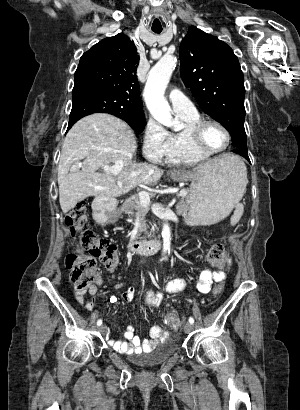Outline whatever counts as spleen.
Wrapping results in <instances>:
<instances>
[{
	"mask_svg": "<svg viewBox=\"0 0 300 410\" xmlns=\"http://www.w3.org/2000/svg\"><path fill=\"white\" fill-rule=\"evenodd\" d=\"M233 161H234V163H235L236 168L239 169V171H241L242 174H243V186H244V188H246V185H247V182H248V181H247L246 166H245V164H244L239 158H237V157L234 158ZM243 212H244V205L241 204V203H238V204L235 206L234 214L231 216V219H230L231 225H236V224L239 222L241 216L243 215Z\"/></svg>",
	"mask_w": 300,
	"mask_h": 410,
	"instance_id": "obj_1",
	"label": "spleen"
}]
</instances>
